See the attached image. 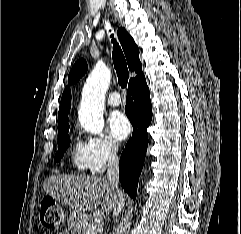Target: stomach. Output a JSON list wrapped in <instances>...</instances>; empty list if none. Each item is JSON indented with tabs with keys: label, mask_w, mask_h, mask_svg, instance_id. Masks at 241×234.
Instances as JSON below:
<instances>
[{
	"label": "stomach",
	"mask_w": 241,
	"mask_h": 234,
	"mask_svg": "<svg viewBox=\"0 0 241 234\" xmlns=\"http://www.w3.org/2000/svg\"><path fill=\"white\" fill-rule=\"evenodd\" d=\"M87 219L77 213H73L70 218V223L72 227L76 229H81L82 225L86 223Z\"/></svg>",
	"instance_id": "0dacf381"
}]
</instances>
